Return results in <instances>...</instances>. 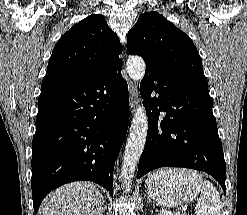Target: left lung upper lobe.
Masks as SVG:
<instances>
[{"label": "left lung upper lobe", "instance_id": "1", "mask_svg": "<svg viewBox=\"0 0 247 215\" xmlns=\"http://www.w3.org/2000/svg\"><path fill=\"white\" fill-rule=\"evenodd\" d=\"M127 39L128 52L142 56L146 68L208 87L192 40L159 13L142 14Z\"/></svg>", "mask_w": 247, "mask_h": 215}]
</instances>
